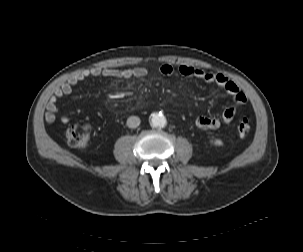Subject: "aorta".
Here are the masks:
<instances>
[{
  "label": "aorta",
  "mask_w": 303,
  "mask_h": 252,
  "mask_svg": "<svg viewBox=\"0 0 303 252\" xmlns=\"http://www.w3.org/2000/svg\"><path fill=\"white\" fill-rule=\"evenodd\" d=\"M150 124L153 127H164L167 124L166 117L161 113H153L150 116Z\"/></svg>",
  "instance_id": "762f6f07"
}]
</instances>
